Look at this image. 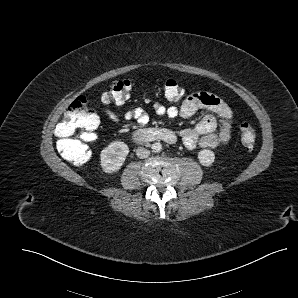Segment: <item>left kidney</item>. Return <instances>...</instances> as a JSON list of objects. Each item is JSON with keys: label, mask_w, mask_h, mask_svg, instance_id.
<instances>
[{"label": "left kidney", "mask_w": 298, "mask_h": 298, "mask_svg": "<svg viewBox=\"0 0 298 298\" xmlns=\"http://www.w3.org/2000/svg\"><path fill=\"white\" fill-rule=\"evenodd\" d=\"M198 159H199V162L203 166L208 167V166H211L212 163L214 162V160H215V154L211 150L204 149V150H201L198 153Z\"/></svg>", "instance_id": "5707ae66"}]
</instances>
